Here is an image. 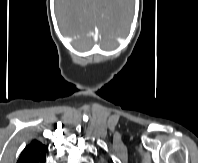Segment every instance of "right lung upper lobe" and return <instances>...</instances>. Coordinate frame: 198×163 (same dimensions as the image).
<instances>
[{
	"label": "right lung upper lobe",
	"instance_id": "1",
	"mask_svg": "<svg viewBox=\"0 0 198 163\" xmlns=\"http://www.w3.org/2000/svg\"><path fill=\"white\" fill-rule=\"evenodd\" d=\"M47 147L38 140H33L22 151L17 163H45Z\"/></svg>",
	"mask_w": 198,
	"mask_h": 163
}]
</instances>
